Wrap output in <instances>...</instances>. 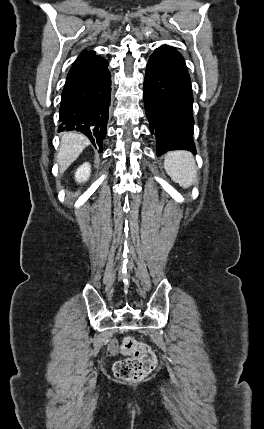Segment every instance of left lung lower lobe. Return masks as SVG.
<instances>
[{
	"instance_id": "left-lung-lower-lobe-1",
	"label": "left lung lower lobe",
	"mask_w": 264,
	"mask_h": 429,
	"mask_svg": "<svg viewBox=\"0 0 264 429\" xmlns=\"http://www.w3.org/2000/svg\"><path fill=\"white\" fill-rule=\"evenodd\" d=\"M144 103L157 155L177 149L196 151L191 80L184 58L171 46L157 48L148 61Z\"/></svg>"
}]
</instances>
